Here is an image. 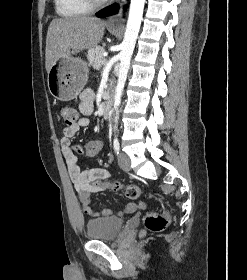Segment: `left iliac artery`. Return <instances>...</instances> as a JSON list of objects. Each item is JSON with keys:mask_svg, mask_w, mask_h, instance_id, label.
<instances>
[{"mask_svg": "<svg viewBox=\"0 0 247 280\" xmlns=\"http://www.w3.org/2000/svg\"><path fill=\"white\" fill-rule=\"evenodd\" d=\"M113 146H114L115 153L119 154L120 144L117 138L114 139Z\"/></svg>", "mask_w": 247, "mask_h": 280, "instance_id": "44dca946", "label": "left iliac artery"}]
</instances>
